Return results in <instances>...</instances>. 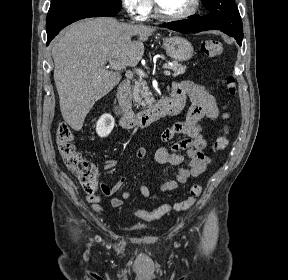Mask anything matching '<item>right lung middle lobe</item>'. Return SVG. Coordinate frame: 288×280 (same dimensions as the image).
<instances>
[{
    "mask_svg": "<svg viewBox=\"0 0 288 280\" xmlns=\"http://www.w3.org/2000/svg\"><path fill=\"white\" fill-rule=\"evenodd\" d=\"M70 1H73V0H52L50 8H53L57 5H60V4L66 3V2H70ZM95 1L106 4V5L114 8V9H117V10H120L121 6H122L121 0H95Z\"/></svg>",
    "mask_w": 288,
    "mask_h": 280,
    "instance_id": "1",
    "label": "right lung middle lobe"
}]
</instances>
